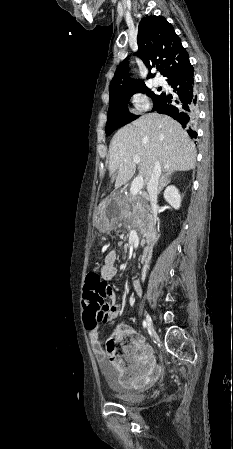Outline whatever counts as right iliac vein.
<instances>
[{
	"instance_id": "obj_1",
	"label": "right iliac vein",
	"mask_w": 233,
	"mask_h": 449,
	"mask_svg": "<svg viewBox=\"0 0 233 449\" xmlns=\"http://www.w3.org/2000/svg\"><path fill=\"white\" fill-rule=\"evenodd\" d=\"M146 322L149 328L150 332H153V324H152V319L151 316L149 314L146 315Z\"/></svg>"
}]
</instances>
